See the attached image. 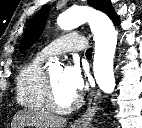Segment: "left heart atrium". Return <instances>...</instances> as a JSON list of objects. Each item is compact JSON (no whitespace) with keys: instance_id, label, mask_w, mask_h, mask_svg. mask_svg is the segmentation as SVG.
I'll return each instance as SVG.
<instances>
[{"instance_id":"1","label":"left heart atrium","mask_w":142,"mask_h":128,"mask_svg":"<svg viewBox=\"0 0 142 128\" xmlns=\"http://www.w3.org/2000/svg\"><path fill=\"white\" fill-rule=\"evenodd\" d=\"M61 82L71 94L77 96L83 90L85 85L82 69L76 64L65 68Z\"/></svg>"}]
</instances>
